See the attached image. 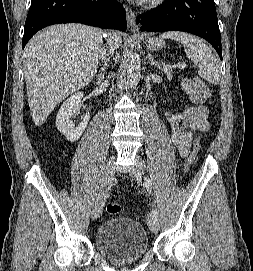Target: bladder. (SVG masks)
I'll return each instance as SVG.
<instances>
[{
    "label": "bladder",
    "mask_w": 253,
    "mask_h": 271,
    "mask_svg": "<svg viewBox=\"0 0 253 271\" xmlns=\"http://www.w3.org/2000/svg\"><path fill=\"white\" fill-rule=\"evenodd\" d=\"M96 249L117 263L140 259L148 250L149 240L143 225L130 218H112L103 222L94 237Z\"/></svg>",
    "instance_id": "31cf9c89"
}]
</instances>
